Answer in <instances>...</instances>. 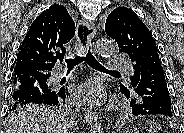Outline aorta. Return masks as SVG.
Returning a JSON list of instances; mask_svg holds the SVG:
<instances>
[{
	"label": "aorta",
	"instance_id": "762f6f07",
	"mask_svg": "<svg viewBox=\"0 0 184 133\" xmlns=\"http://www.w3.org/2000/svg\"><path fill=\"white\" fill-rule=\"evenodd\" d=\"M95 51L102 57H109L115 52V45L112 41L99 39L95 42ZM90 133H104L103 125L96 121L90 128Z\"/></svg>",
	"mask_w": 184,
	"mask_h": 133
}]
</instances>
